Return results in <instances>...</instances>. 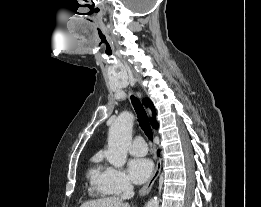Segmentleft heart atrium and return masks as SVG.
<instances>
[{"mask_svg": "<svg viewBox=\"0 0 261 207\" xmlns=\"http://www.w3.org/2000/svg\"><path fill=\"white\" fill-rule=\"evenodd\" d=\"M153 171V163L147 158H133L128 162V172L130 179L141 184L145 182Z\"/></svg>", "mask_w": 261, "mask_h": 207, "instance_id": "left-heart-atrium-1", "label": "left heart atrium"}]
</instances>
